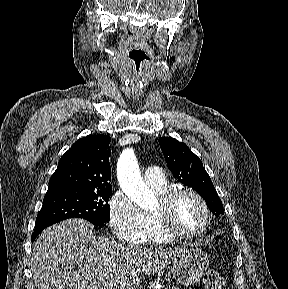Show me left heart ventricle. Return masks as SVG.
<instances>
[{
    "mask_svg": "<svg viewBox=\"0 0 288 289\" xmlns=\"http://www.w3.org/2000/svg\"><path fill=\"white\" fill-rule=\"evenodd\" d=\"M172 219L174 227L177 230L190 233L198 230L202 226L204 214L199 202L195 198L182 196L177 199L173 205Z\"/></svg>",
    "mask_w": 288,
    "mask_h": 289,
    "instance_id": "b2bd125f",
    "label": "left heart ventricle"
}]
</instances>
